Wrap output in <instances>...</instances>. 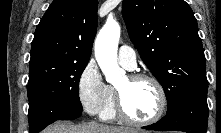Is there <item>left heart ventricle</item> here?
Masks as SVG:
<instances>
[{"label": "left heart ventricle", "mask_w": 221, "mask_h": 133, "mask_svg": "<svg viewBox=\"0 0 221 133\" xmlns=\"http://www.w3.org/2000/svg\"><path fill=\"white\" fill-rule=\"evenodd\" d=\"M121 90L128 114L138 120L151 118L159 106L154 84L148 80L131 82L126 77L117 86Z\"/></svg>", "instance_id": "obj_1"}]
</instances>
